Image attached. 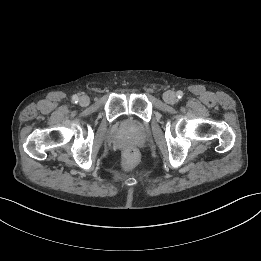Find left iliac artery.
Masks as SVG:
<instances>
[{
	"label": "left iliac artery",
	"instance_id": "left-iliac-artery-1",
	"mask_svg": "<svg viewBox=\"0 0 261 261\" xmlns=\"http://www.w3.org/2000/svg\"><path fill=\"white\" fill-rule=\"evenodd\" d=\"M177 97L180 99L183 97V92L182 91H178L177 92Z\"/></svg>",
	"mask_w": 261,
	"mask_h": 261
}]
</instances>
